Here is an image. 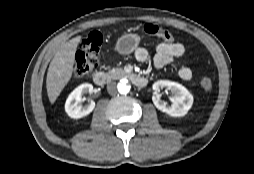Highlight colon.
<instances>
[{"mask_svg":"<svg viewBox=\"0 0 254 174\" xmlns=\"http://www.w3.org/2000/svg\"><path fill=\"white\" fill-rule=\"evenodd\" d=\"M143 31L147 35L158 37L167 43H172L174 41V35L171 31L155 24H144ZM102 43V35L97 31L90 32L81 40L74 59L75 78L86 77L98 66ZM212 85L213 83L210 78L204 77L201 79V86L204 90H211Z\"/></svg>","mask_w":254,"mask_h":174,"instance_id":"obj_1","label":"colon"}]
</instances>
